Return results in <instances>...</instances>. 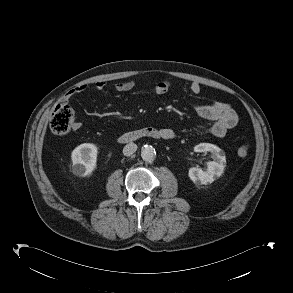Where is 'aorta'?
Segmentation results:
<instances>
[{
  "label": "aorta",
  "mask_w": 293,
  "mask_h": 293,
  "mask_svg": "<svg viewBox=\"0 0 293 293\" xmlns=\"http://www.w3.org/2000/svg\"><path fill=\"white\" fill-rule=\"evenodd\" d=\"M156 155L155 149L151 145H145L141 150V157L146 162H151L154 160Z\"/></svg>",
  "instance_id": "1"
}]
</instances>
